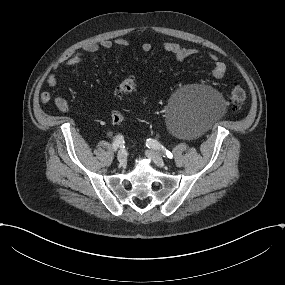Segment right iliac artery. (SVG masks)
Wrapping results in <instances>:
<instances>
[{
    "label": "right iliac artery",
    "instance_id": "82829eb1",
    "mask_svg": "<svg viewBox=\"0 0 285 285\" xmlns=\"http://www.w3.org/2000/svg\"><path fill=\"white\" fill-rule=\"evenodd\" d=\"M121 147H124V137L122 135H118L113 142V149L116 152Z\"/></svg>",
    "mask_w": 285,
    "mask_h": 285
}]
</instances>
